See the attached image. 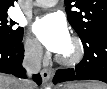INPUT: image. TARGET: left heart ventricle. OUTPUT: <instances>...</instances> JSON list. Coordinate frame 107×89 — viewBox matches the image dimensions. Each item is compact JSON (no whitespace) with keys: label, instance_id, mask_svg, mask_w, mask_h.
<instances>
[{"label":"left heart ventricle","instance_id":"obj_1","mask_svg":"<svg viewBox=\"0 0 107 89\" xmlns=\"http://www.w3.org/2000/svg\"><path fill=\"white\" fill-rule=\"evenodd\" d=\"M72 53V45L71 43H69V45L67 46V48L61 53V55L67 56L70 55Z\"/></svg>","mask_w":107,"mask_h":89}]
</instances>
